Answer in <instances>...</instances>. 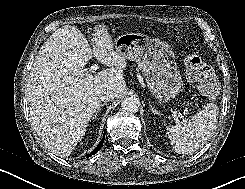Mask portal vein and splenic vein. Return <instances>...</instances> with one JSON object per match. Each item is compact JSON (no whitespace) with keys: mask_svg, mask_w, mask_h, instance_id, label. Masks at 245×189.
Wrapping results in <instances>:
<instances>
[{"mask_svg":"<svg viewBox=\"0 0 245 189\" xmlns=\"http://www.w3.org/2000/svg\"><path fill=\"white\" fill-rule=\"evenodd\" d=\"M98 68H99V66H98L97 64H94V65H92V66L89 68V72H90V73H94ZM176 122H179V121L176 120Z\"/></svg>","mask_w":245,"mask_h":189,"instance_id":"1","label":"portal vein and splenic vein"}]
</instances>
